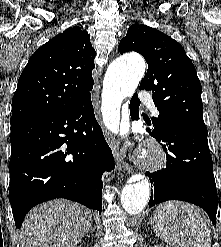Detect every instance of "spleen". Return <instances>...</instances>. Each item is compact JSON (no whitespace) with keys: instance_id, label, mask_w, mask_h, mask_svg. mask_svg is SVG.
Returning a JSON list of instances; mask_svg holds the SVG:
<instances>
[{"instance_id":"obj_1","label":"spleen","mask_w":221,"mask_h":247,"mask_svg":"<svg viewBox=\"0 0 221 247\" xmlns=\"http://www.w3.org/2000/svg\"><path fill=\"white\" fill-rule=\"evenodd\" d=\"M155 233L169 246L211 247V235L199 211L184 202H166L154 211Z\"/></svg>"}]
</instances>
